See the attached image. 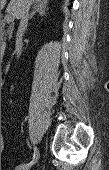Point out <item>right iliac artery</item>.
<instances>
[{"label": "right iliac artery", "mask_w": 109, "mask_h": 170, "mask_svg": "<svg viewBox=\"0 0 109 170\" xmlns=\"http://www.w3.org/2000/svg\"><path fill=\"white\" fill-rule=\"evenodd\" d=\"M38 158H39V152L36 148H34L33 159L28 163V165H33L34 163H36Z\"/></svg>", "instance_id": "obj_1"}]
</instances>
